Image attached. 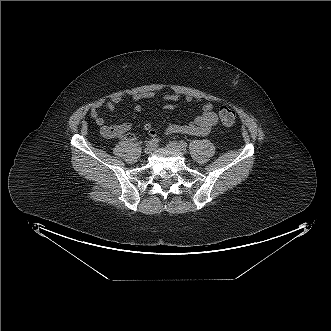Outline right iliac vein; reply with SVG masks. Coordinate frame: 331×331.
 Wrapping results in <instances>:
<instances>
[{
	"label": "right iliac vein",
	"instance_id": "1",
	"mask_svg": "<svg viewBox=\"0 0 331 331\" xmlns=\"http://www.w3.org/2000/svg\"><path fill=\"white\" fill-rule=\"evenodd\" d=\"M152 152V146H146L144 148V153L145 154H150Z\"/></svg>",
	"mask_w": 331,
	"mask_h": 331
}]
</instances>
